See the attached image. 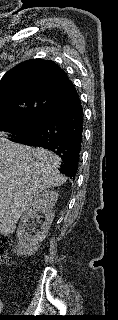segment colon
Segmentation results:
<instances>
[{"instance_id": "5ec220e1", "label": "colon", "mask_w": 118, "mask_h": 320, "mask_svg": "<svg viewBox=\"0 0 118 320\" xmlns=\"http://www.w3.org/2000/svg\"><path fill=\"white\" fill-rule=\"evenodd\" d=\"M11 243L12 241L8 236H0V263L7 260V253Z\"/></svg>"}]
</instances>
